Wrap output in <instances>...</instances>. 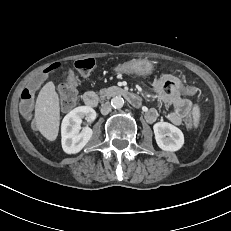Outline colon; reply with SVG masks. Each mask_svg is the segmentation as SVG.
Returning <instances> with one entry per match:
<instances>
[{
	"instance_id": "1",
	"label": "colon",
	"mask_w": 231,
	"mask_h": 231,
	"mask_svg": "<svg viewBox=\"0 0 231 231\" xmlns=\"http://www.w3.org/2000/svg\"><path fill=\"white\" fill-rule=\"evenodd\" d=\"M57 67L58 65L55 64L50 66L48 70H43L38 79L29 84L28 89L23 91L21 95V107L25 112L30 111L33 105L36 89L45 83L49 76V72L55 70ZM74 67L80 75L86 76L94 69L95 60L93 58L80 59L74 63ZM176 85L177 92L179 94H185L187 98H195L197 96V89L195 87H188L186 83L179 82H176ZM59 95L62 108L65 110L72 109L75 106L78 98V89L76 83L68 82L61 85L59 88ZM193 124L194 120L192 118L187 119V126L191 127Z\"/></svg>"
}]
</instances>
